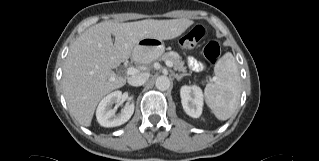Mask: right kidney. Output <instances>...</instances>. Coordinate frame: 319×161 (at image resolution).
I'll use <instances>...</instances> for the list:
<instances>
[{
	"label": "right kidney",
	"mask_w": 319,
	"mask_h": 161,
	"mask_svg": "<svg viewBox=\"0 0 319 161\" xmlns=\"http://www.w3.org/2000/svg\"><path fill=\"white\" fill-rule=\"evenodd\" d=\"M122 98L121 91H114L104 97L96 110L98 123L103 127H116L126 123L134 112V103H127L120 113L116 114V109L112 105L119 103Z\"/></svg>",
	"instance_id": "obj_1"
}]
</instances>
